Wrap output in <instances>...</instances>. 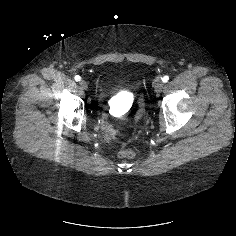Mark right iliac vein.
<instances>
[{
    "mask_svg": "<svg viewBox=\"0 0 236 236\" xmlns=\"http://www.w3.org/2000/svg\"><path fill=\"white\" fill-rule=\"evenodd\" d=\"M79 85L81 86V88L82 89H87L88 88V83H87V81H85V80H81L80 82H79Z\"/></svg>",
    "mask_w": 236,
    "mask_h": 236,
    "instance_id": "obj_1",
    "label": "right iliac vein"
}]
</instances>
